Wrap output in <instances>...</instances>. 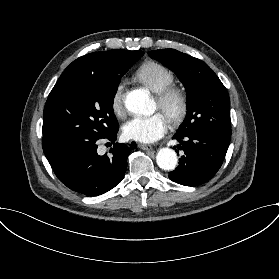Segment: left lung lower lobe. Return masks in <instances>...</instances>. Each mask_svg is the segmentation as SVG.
<instances>
[{
  "label": "left lung lower lobe",
  "instance_id": "left-lung-lower-lobe-1",
  "mask_svg": "<svg viewBox=\"0 0 279 279\" xmlns=\"http://www.w3.org/2000/svg\"><path fill=\"white\" fill-rule=\"evenodd\" d=\"M184 151L178 167L169 173V178L185 186H197L210 180L221 167L230 144L231 135L199 130L186 135L174 136ZM178 152V151H177ZM179 153V152H178Z\"/></svg>",
  "mask_w": 279,
  "mask_h": 279
}]
</instances>
